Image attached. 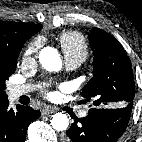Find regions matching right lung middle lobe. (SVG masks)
<instances>
[{
  "mask_svg": "<svg viewBox=\"0 0 142 142\" xmlns=\"http://www.w3.org/2000/svg\"><path fill=\"white\" fill-rule=\"evenodd\" d=\"M21 48L22 45L15 47L7 55H0V98H7L5 82L16 70L17 58Z\"/></svg>",
  "mask_w": 142,
  "mask_h": 142,
  "instance_id": "1",
  "label": "right lung middle lobe"
}]
</instances>
